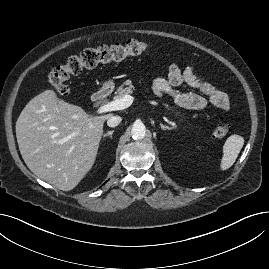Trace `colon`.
<instances>
[{"instance_id":"5ec220e1","label":"colon","mask_w":269,"mask_h":269,"mask_svg":"<svg viewBox=\"0 0 269 269\" xmlns=\"http://www.w3.org/2000/svg\"><path fill=\"white\" fill-rule=\"evenodd\" d=\"M150 49L146 42L129 40L125 44L102 46L95 49H86L80 54L71 56L64 63L55 66L49 73L48 79L52 88L61 96H68L70 88L66 84L68 78L87 68L112 61H121L127 57L140 55ZM232 127L224 116H218L213 134L215 137L226 136Z\"/></svg>"}]
</instances>
